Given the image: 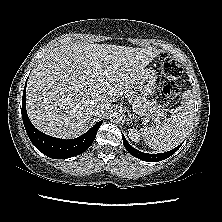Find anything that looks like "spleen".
Wrapping results in <instances>:
<instances>
[{
	"label": "spleen",
	"mask_w": 222,
	"mask_h": 222,
	"mask_svg": "<svg viewBox=\"0 0 222 222\" xmlns=\"http://www.w3.org/2000/svg\"><path fill=\"white\" fill-rule=\"evenodd\" d=\"M176 114L160 125L141 129L145 143L157 151H168L178 146L187 136L194 121V98L191 91L182 95Z\"/></svg>",
	"instance_id": "obj_1"
}]
</instances>
